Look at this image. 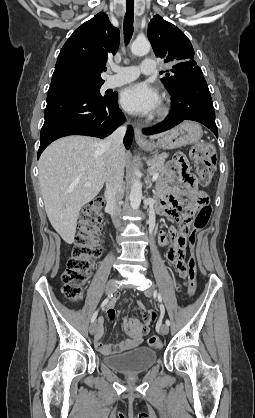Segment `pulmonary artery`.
Segmentation results:
<instances>
[{
	"instance_id": "1",
	"label": "pulmonary artery",
	"mask_w": 255,
	"mask_h": 418,
	"mask_svg": "<svg viewBox=\"0 0 255 418\" xmlns=\"http://www.w3.org/2000/svg\"><path fill=\"white\" fill-rule=\"evenodd\" d=\"M156 63L152 58H145L139 67H113L114 75L109 76L105 81V88H113L129 83L139 76L140 73L151 74L155 71Z\"/></svg>"
}]
</instances>
